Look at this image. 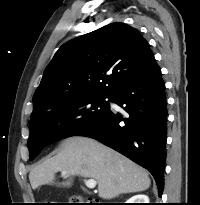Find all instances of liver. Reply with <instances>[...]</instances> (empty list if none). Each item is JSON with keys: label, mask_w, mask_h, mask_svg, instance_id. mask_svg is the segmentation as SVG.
I'll use <instances>...</instances> for the list:
<instances>
[{"label": "liver", "mask_w": 200, "mask_h": 205, "mask_svg": "<svg viewBox=\"0 0 200 205\" xmlns=\"http://www.w3.org/2000/svg\"><path fill=\"white\" fill-rule=\"evenodd\" d=\"M71 186L73 176L94 179L98 195L112 199L120 194L144 191L150 186L146 170L113 149L86 137H71L61 142L59 152L35 166L29 173L32 189L55 184L56 172Z\"/></svg>", "instance_id": "obj_1"}]
</instances>
